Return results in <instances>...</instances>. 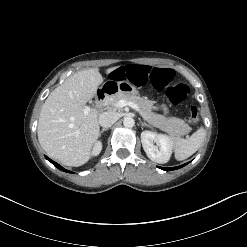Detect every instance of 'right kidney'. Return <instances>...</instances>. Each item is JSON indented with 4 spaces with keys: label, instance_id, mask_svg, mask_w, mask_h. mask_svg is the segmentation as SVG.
I'll return each mask as SVG.
<instances>
[{
    "label": "right kidney",
    "instance_id": "1",
    "mask_svg": "<svg viewBox=\"0 0 247 247\" xmlns=\"http://www.w3.org/2000/svg\"><path fill=\"white\" fill-rule=\"evenodd\" d=\"M102 150V143L100 141L96 142L92 148L91 155L97 156Z\"/></svg>",
    "mask_w": 247,
    "mask_h": 247
}]
</instances>
